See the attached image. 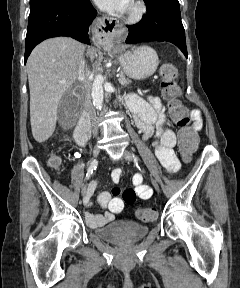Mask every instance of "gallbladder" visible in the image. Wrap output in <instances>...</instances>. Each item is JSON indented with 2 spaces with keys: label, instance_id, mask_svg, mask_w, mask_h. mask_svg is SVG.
<instances>
[{
  "label": "gallbladder",
  "instance_id": "1",
  "mask_svg": "<svg viewBox=\"0 0 240 288\" xmlns=\"http://www.w3.org/2000/svg\"><path fill=\"white\" fill-rule=\"evenodd\" d=\"M68 109V105L65 99H62L59 104L58 112L59 114L64 113Z\"/></svg>",
  "mask_w": 240,
  "mask_h": 288
}]
</instances>
